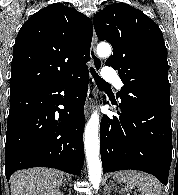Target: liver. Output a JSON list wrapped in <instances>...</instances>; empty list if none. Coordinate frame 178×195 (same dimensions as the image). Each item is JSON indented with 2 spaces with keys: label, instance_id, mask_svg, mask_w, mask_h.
I'll list each match as a JSON object with an SVG mask.
<instances>
[{
  "label": "liver",
  "instance_id": "obj_1",
  "mask_svg": "<svg viewBox=\"0 0 178 195\" xmlns=\"http://www.w3.org/2000/svg\"><path fill=\"white\" fill-rule=\"evenodd\" d=\"M63 173L48 168H32L16 172L11 177V195H38L44 190L62 185Z\"/></svg>",
  "mask_w": 178,
  "mask_h": 195
}]
</instances>
